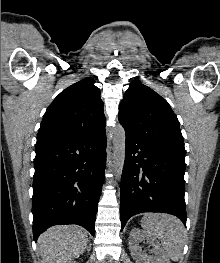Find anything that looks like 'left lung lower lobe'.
I'll use <instances>...</instances> for the list:
<instances>
[{
  "label": "left lung lower lobe",
  "instance_id": "0a47b994",
  "mask_svg": "<svg viewBox=\"0 0 220 263\" xmlns=\"http://www.w3.org/2000/svg\"><path fill=\"white\" fill-rule=\"evenodd\" d=\"M184 173V159L126 134L121 230L130 217L142 212L169 213L186 225Z\"/></svg>",
  "mask_w": 220,
  "mask_h": 263
}]
</instances>
